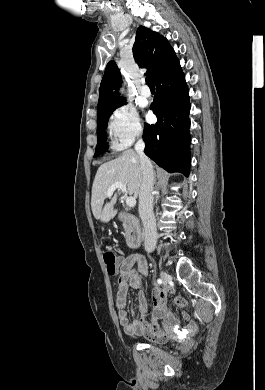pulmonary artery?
<instances>
[{
  "label": "pulmonary artery",
  "mask_w": 265,
  "mask_h": 390,
  "mask_svg": "<svg viewBox=\"0 0 265 390\" xmlns=\"http://www.w3.org/2000/svg\"><path fill=\"white\" fill-rule=\"evenodd\" d=\"M139 92L142 97L147 98L151 95L150 89L145 84L141 85Z\"/></svg>",
  "instance_id": "1"
}]
</instances>
